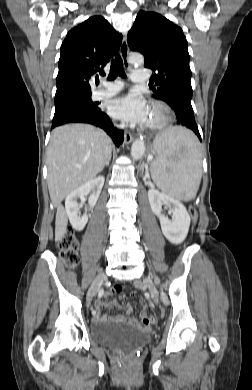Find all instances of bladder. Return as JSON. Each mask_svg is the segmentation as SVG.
<instances>
[{
  "label": "bladder",
  "mask_w": 252,
  "mask_h": 390,
  "mask_svg": "<svg viewBox=\"0 0 252 390\" xmlns=\"http://www.w3.org/2000/svg\"><path fill=\"white\" fill-rule=\"evenodd\" d=\"M91 340L108 348L132 351L150 342L151 335L127 324L107 321L92 325Z\"/></svg>",
  "instance_id": "31cf9c89"
}]
</instances>
